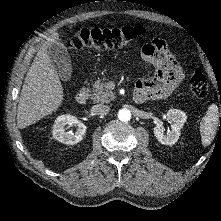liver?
Here are the masks:
<instances>
[{
    "label": "liver",
    "mask_w": 221,
    "mask_h": 221,
    "mask_svg": "<svg viewBox=\"0 0 221 221\" xmlns=\"http://www.w3.org/2000/svg\"><path fill=\"white\" fill-rule=\"evenodd\" d=\"M60 42L53 33L39 49L29 68L17 108V126L26 128L56 111L63 101V87L48 55V46Z\"/></svg>",
    "instance_id": "liver-1"
}]
</instances>
